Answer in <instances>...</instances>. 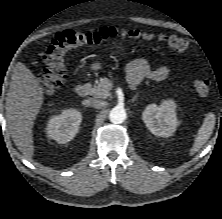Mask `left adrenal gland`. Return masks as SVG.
Returning a JSON list of instances; mask_svg holds the SVG:
<instances>
[{"mask_svg":"<svg viewBox=\"0 0 222 219\" xmlns=\"http://www.w3.org/2000/svg\"><path fill=\"white\" fill-rule=\"evenodd\" d=\"M137 97H138V94H136V95L133 97L132 102H134V101L137 99Z\"/></svg>","mask_w":222,"mask_h":219,"instance_id":"a2214340","label":"left adrenal gland"}]
</instances>
